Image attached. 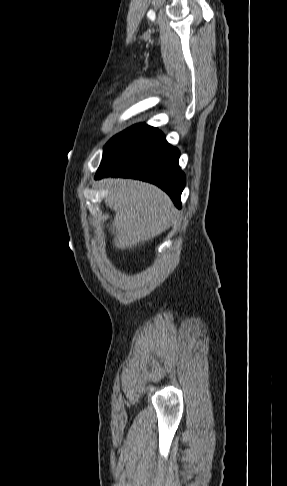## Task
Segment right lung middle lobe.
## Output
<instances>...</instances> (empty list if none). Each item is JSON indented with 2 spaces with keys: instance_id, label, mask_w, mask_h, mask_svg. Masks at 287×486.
I'll return each instance as SVG.
<instances>
[{
  "instance_id": "obj_1",
  "label": "right lung middle lobe",
  "mask_w": 287,
  "mask_h": 486,
  "mask_svg": "<svg viewBox=\"0 0 287 486\" xmlns=\"http://www.w3.org/2000/svg\"><path fill=\"white\" fill-rule=\"evenodd\" d=\"M154 129L144 123L136 124L111 138L104 147L103 159L126 147Z\"/></svg>"
}]
</instances>
